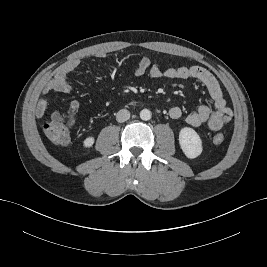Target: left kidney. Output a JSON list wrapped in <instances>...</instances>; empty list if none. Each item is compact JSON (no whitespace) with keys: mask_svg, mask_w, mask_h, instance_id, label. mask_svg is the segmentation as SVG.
Returning <instances> with one entry per match:
<instances>
[{"mask_svg":"<svg viewBox=\"0 0 267 267\" xmlns=\"http://www.w3.org/2000/svg\"><path fill=\"white\" fill-rule=\"evenodd\" d=\"M179 144L187 158L194 159L202 153L201 138L190 127H184L180 130Z\"/></svg>","mask_w":267,"mask_h":267,"instance_id":"5707ae66","label":"left kidney"}]
</instances>
